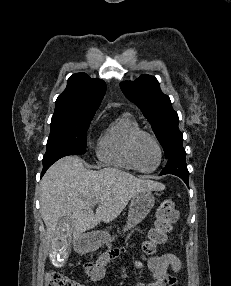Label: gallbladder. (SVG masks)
I'll return each instance as SVG.
<instances>
[{
	"label": "gallbladder",
	"instance_id": "obj_1",
	"mask_svg": "<svg viewBox=\"0 0 231 286\" xmlns=\"http://www.w3.org/2000/svg\"><path fill=\"white\" fill-rule=\"evenodd\" d=\"M72 228H74V223L70 214L62 216L58 225H55L56 236L49 241L51 242L49 257L51 263H54L57 268H62L61 266L65 265L66 259L70 256Z\"/></svg>",
	"mask_w": 231,
	"mask_h": 286
}]
</instances>
